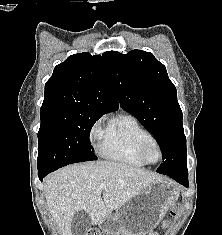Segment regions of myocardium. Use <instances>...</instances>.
Wrapping results in <instances>:
<instances>
[{
  "label": "myocardium",
  "instance_id": "obj_1",
  "mask_svg": "<svg viewBox=\"0 0 222 235\" xmlns=\"http://www.w3.org/2000/svg\"><path fill=\"white\" fill-rule=\"evenodd\" d=\"M151 146H155L159 152V157L156 161H150L147 157V152L149 150V148ZM139 156L141 158V160L146 164V165H155L157 163H159L162 158H163V150L161 145L158 143V141L156 139L153 140H149L144 142L140 148H139Z\"/></svg>",
  "mask_w": 222,
  "mask_h": 235
}]
</instances>
